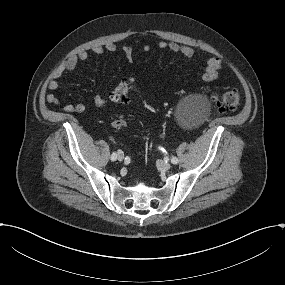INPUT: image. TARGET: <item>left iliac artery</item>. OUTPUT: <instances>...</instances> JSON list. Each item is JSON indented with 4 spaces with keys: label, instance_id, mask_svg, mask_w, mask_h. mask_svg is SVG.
Returning <instances> with one entry per match:
<instances>
[{
    "label": "left iliac artery",
    "instance_id": "obj_1",
    "mask_svg": "<svg viewBox=\"0 0 285 285\" xmlns=\"http://www.w3.org/2000/svg\"><path fill=\"white\" fill-rule=\"evenodd\" d=\"M160 150H161L162 152H166L165 149L162 148V147H160ZM171 162H172L173 164H177V163H178V159H177L176 157H172V158H171Z\"/></svg>",
    "mask_w": 285,
    "mask_h": 285
}]
</instances>
